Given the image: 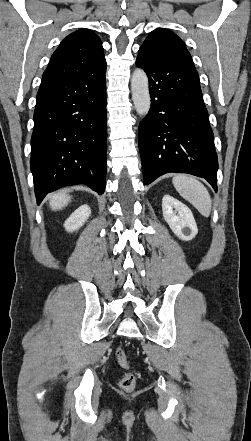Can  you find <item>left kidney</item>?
<instances>
[{"mask_svg": "<svg viewBox=\"0 0 251 441\" xmlns=\"http://www.w3.org/2000/svg\"><path fill=\"white\" fill-rule=\"evenodd\" d=\"M162 211L165 221L179 239L189 241L197 235L195 219L185 204L166 194L162 199Z\"/></svg>", "mask_w": 251, "mask_h": 441, "instance_id": "5707ae66", "label": "left kidney"}]
</instances>
